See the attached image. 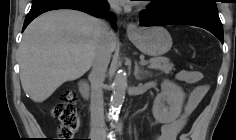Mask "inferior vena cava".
I'll return each mask as SVG.
<instances>
[{"label": "inferior vena cava", "instance_id": "inferior-vena-cava-1", "mask_svg": "<svg viewBox=\"0 0 236 140\" xmlns=\"http://www.w3.org/2000/svg\"><path fill=\"white\" fill-rule=\"evenodd\" d=\"M110 8L119 13L121 8L116 0L109 2ZM103 23L102 35L99 40L97 49L95 51L92 70L89 75L91 82V121L95 126V129L99 132L103 131L104 127V106H103V82L107 67L110 63L112 53V40L114 38L113 31L107 23Z\"/></svg>", "mask_w": 236, "mask_h": 140}]
</instances>
